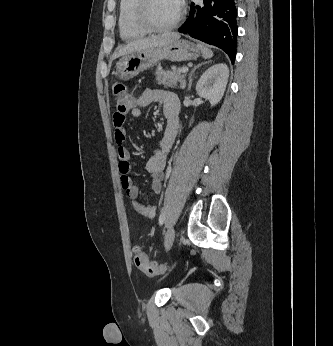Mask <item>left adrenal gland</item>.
<instances>
[{
	"label": "left adrenal gland",
	"mask_w": 333,
	"mask_h": 346,
	"mask_svg": "<svg viewBox=\"0 0 333 346\" xmlns=\"http://www.w3.org/2000/svg\"><path fill=\"white\" fill-rule=\"evenodd\" d=\"M206 63H208V62H204V63H200V64L196 65V66L192 69V71L190 72V74H189V84H188V89H187L188 91H190V89H191V86H192V75L194 74L195 70H196L197 68L201 67L202 65H205Z\"/></svg>",
	"instance_id": "obj_1"
}]
</instances>
